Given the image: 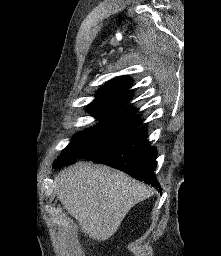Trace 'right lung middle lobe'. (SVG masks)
Wrapping results in <instances>:
<instances>
[{"mask_svg": "<svg viewBox=\"0 0 221 256\" xmlns=\"http://www.w3.org/2000/svg\"><path fill=\"white\" fill-rule=\"evenodd\" d=\"M88 112L101 122L83 132L76 133L60 157L55 160L53 167L62 168L63 165L72 164L76 159L84 158L109 141H113L141 125V120L138 117H133L123 111L98 109Z\"/></svg>", "mask_w": 221, "mask_h": 256, "instance_id": "dd1d6c3e", "label": "right lung middle lobe"}]
</instances>
